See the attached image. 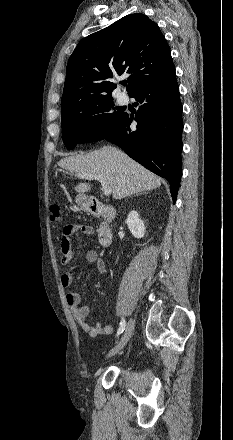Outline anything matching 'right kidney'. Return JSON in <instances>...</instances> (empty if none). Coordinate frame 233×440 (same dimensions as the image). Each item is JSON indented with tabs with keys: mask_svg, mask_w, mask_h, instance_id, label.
Listing matches in <instances>:
<instances>
[{
	"mask_svg": "<svg viewBox=\"0 0 233 440\" xmlns=\"http://www.w3.org/2000/svg\"><path fill=\"white\" fill-rule=\"evenodd\" d=\"M125 223L127 224L130 232L135 238L140 239L144 237L145 235L144 222L139 218V214L137 213V211L134 210L131 211L128 214Z\"/></svg>",
	"mask_w": 233,
	"mask_h": 440,
	"instance_id": "right-kidney-1",
	"label": "right kidney"
}]
</instances>
